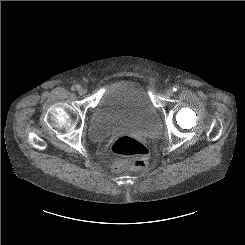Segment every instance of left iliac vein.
<instances>
[{"instance_id": "4c4485c4", "label": "left iliac vein", "mask_w": 245, "mask_h": 245, "mask_svg": "<svg viewBox=\"0 0 245 245\" xmlns=\"http://www.w3.org/2000/svg\"><path fill=\"white\" fill-rule=\"evenodd\" d=\"M167 97H171L173 95V90L172 89H167L165 92Z\"/></svg>"}]
</instances>
